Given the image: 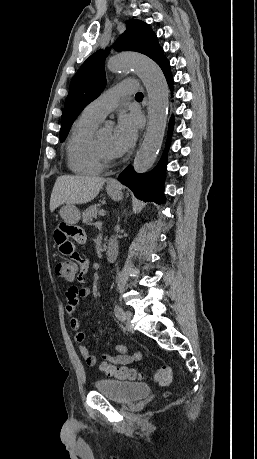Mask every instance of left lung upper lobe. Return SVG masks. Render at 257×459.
Masks as SVG:
<instances>
[{"label":"left lung upper lobe","instance_id":"5c2ea615","mask_svg":"<svg viewBox=\"0 0 257 459\" xmlns=\"http://www.w3.org/2000/svg\"><path fill=\"white\" fill-rule=\"evenodd\" d=\"M115 49L145 54L157 64L165 57L155 33L147 23L139 20L127 23L126 31L115 43ZM107 53L108 50H99L91 55L73 77L61 118V142L81 111L103 91L106 84L104 59Z\"/></svg>","mask_w":257,"mask_h":459}]
</instances>
